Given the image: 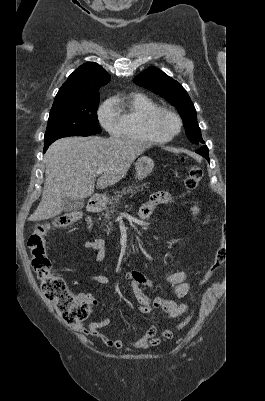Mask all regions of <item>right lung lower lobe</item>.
Listing matches in <instances>:
<instances>
[{
	"label": "right lung lower lobe",
	"mask_w": 265,
	"mask_h": 401,
	"mask_svg": "<svg viewBox=\"0 0 265 401\" xmlns=\"http://www.w3.org/2000/svg\"><path fill=\"white\" fill-rule=\"evenodd\" d=\"M44 152L48 149L49 145L48 144H44Z\"/></svg>",
	"instance_id": "1"
}]
</instances>
